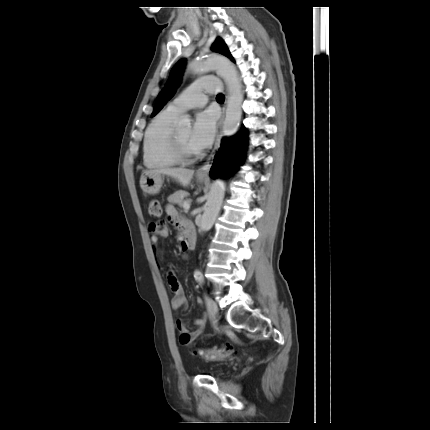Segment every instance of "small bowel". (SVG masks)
I'll use <instances>...</instances> for the list:
<instances>
[{
  "instance_id": "c3829d8e",
  "label": "small bowel",
  "mask_w": 430,
  "mask_h": 430,
  "mask_svg": "<svg viewBox=\"0 0 430 430\" xmlns=\"http://www.w3.org/2000/svg\"><path fill=\"white\" fill-rule=\"evenodd\" d=\"M166 214L168 216V221L175 225L179 230H182L184 234L192 233L191 226L182 220L177 212V210L172 205H167L165 208ZM149 239L150 243L154 248L156 254H161L162 252L158 250L157 244L160 238L166 237L168 234L167 228L163 222H152L149 225ZM169 284L173 291V297L171 299V307L174 310H179L185 308L187 305V297L180 283L176 280L174 276L169 277ZM196 329L189 331L182 319H177L176 327L180 333L179 341L183 346L191 347L196 339L200 337L204 331L206 325V317L200 316L195 320Z\"/></svg>"
}]
</instances>
